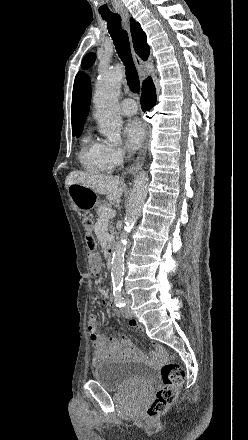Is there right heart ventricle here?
Returning a JSON list of instances; mask_svg holds the SVG:
<instances>
[{"mask_svg":"<svg viewBox=\"0 0 248 440\" xmlns=\"http://www.w3.org/2000/svg\"><path fill=\"white\" fill-rule=\"evenodd\" d=\"M82 167L91 173H107L111 168L106 164L103 154V143L85 136L79 152Z\"/></svg>","mask_w":248,"mask_h":440,"instance_id":"1","label":"right heart ventricle"}]
</instances>
